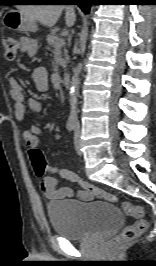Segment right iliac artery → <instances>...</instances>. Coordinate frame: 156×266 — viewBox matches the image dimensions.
<instances>
[{"instance_id":"1","label":"right iliac artery","mask_w":156,"mask_h":266,"mask_svg":"<svg viewBox=\"0 0 156 266\" xmlns=\"http://www.w3.org/2000/svg\"><path fill=\"white\" fill-rule=\"evenodd\" d=\"M77 125V117L75 115H71L67 121V129L72 131L76 128Z\"/></svg>"}]
</instances>
